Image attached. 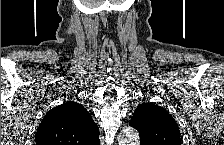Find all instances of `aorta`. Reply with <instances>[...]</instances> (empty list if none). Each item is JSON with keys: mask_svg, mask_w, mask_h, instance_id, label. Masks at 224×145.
Here are the masks:
<instances>
[{"mask_svg": "<svg viewBox=\"0 0 224 145\" xmlns=\"http://www.w3.org/2000/svg\"><path fill=\"white\" fill-rule=\"evenodd\" d=\"M119 145H139V133L135 128L122 129L118 138Z\"/></svg>", "mask_w": 224, "mask_h": 145, "instance_id": "762f6f07", "label": "aorta"}]
</instances>
